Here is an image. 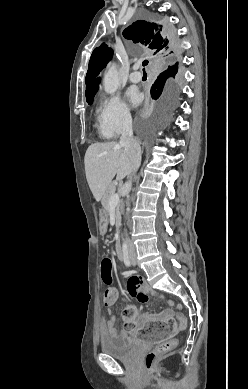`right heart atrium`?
I'll return each mask as SVG.
<instances>
[{
  "label": "right heart atrium",
  "instance_id": "right-heart-atrium-1",
  "mask_svg": "<svg viewBox=\"0 0 248 389\" xmlns=\"http://www.w3.org/2000/svg\"><path fill=\"white\" fill-rule=\"evenodd\" d=\"M99 112L104 128L111 137L118 136L131 126L130 111L118 96L104 98L100 104Z\"/></svg>",
  "mask_w": 248,
  "mask_h": 389
}]
</instances>
